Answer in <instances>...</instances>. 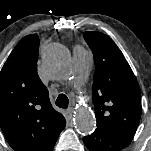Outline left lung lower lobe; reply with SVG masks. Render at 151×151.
<instances>
[{
    "mask_svg": "<svg viewBox=\"0 0 151 151\" xmlns=\"http://www.w3.org/2000/svg\"><path fill=\"white\" fill-rule=\"evenodd\" d=\"M132 137L123 134L96 131L83 138L84 144L90 151H121L132 141Z\"/></svg>",
    "mask_w": 151,
    "mask_h": 151,
    "instance_id": "0a47b994",
    "label": "left lung lower lobe"
}]
</instances>
